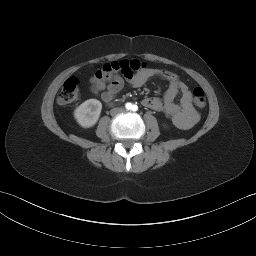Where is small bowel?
<instances>
[{"label": "small bowel", "mask_w": 256, "mask_h": 256, "mask_svg": "<svg viewBox=\"0 0 256 256\" xmlns=\"http://www.w3.org/2000/svg\"><path fill=\"white\" fill-rule=\"evenodd\" d=\"M160 76L169 83L163 96V101L156 97H148L142 100L143 106L155 111L163 112L172 123L182 130L191 128L199 119L198 114L192 107V94L178 75L172 71L158 68H146L131 78L116 77L111 82L103 83L93 89L96 95L108 103L128 84L134 88L142 87L150 78ZM180 95V103L174 99Z\"/></svg>", "instance_id": "c3829d8e"}]
</instances>
